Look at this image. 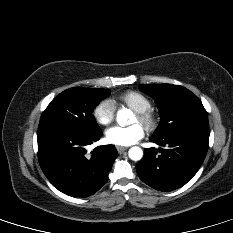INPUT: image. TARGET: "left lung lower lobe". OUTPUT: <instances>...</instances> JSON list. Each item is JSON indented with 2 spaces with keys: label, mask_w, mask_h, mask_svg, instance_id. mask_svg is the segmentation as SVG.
<instances>
[{
  "label": "left lung lower lobe",
  "mask_w": 233,
  "mask_h": 233,
  "mask_svg": "<svg viewBox=\"0 0 233 233\" xmlns=\"http://www.w3.org/2000/svg\"><path fill=\"white\" fill-rule=\"evenodd\" d=\"M161 147L148 148L136 165L139 178L167 192L182 187L199 170L208 150L209 129L193 128L162 138H150Z\"/></svg>",
  "instance_id": "left-lung-lower-lobe-1"
}]
</instances>
